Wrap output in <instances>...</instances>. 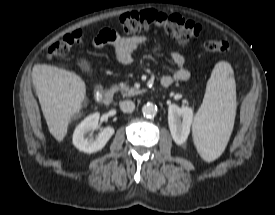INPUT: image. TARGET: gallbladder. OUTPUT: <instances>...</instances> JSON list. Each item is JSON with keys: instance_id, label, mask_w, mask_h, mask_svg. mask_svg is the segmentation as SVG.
I'll use <instances>...</instances> for the list:
<instances>
[{"instance_id": "1", "label": "gallbladder", "mask_w": 275, "mask_h": 215, "mask_svg": "<svg viewBox=\"0 0 275 215\" xmlns=\"http://www.w3.org/2000/svg\"><path fill=\"white\" fill-rule=\"evenodd\" d=\"M78 65L82 69L83 72L91 74L92 66H91V63L87 59H85V58L79 59Z\"/></svg>"}]
</instances>
